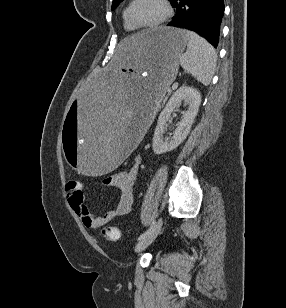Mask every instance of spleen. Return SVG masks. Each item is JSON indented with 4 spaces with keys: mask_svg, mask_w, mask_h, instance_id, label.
Returning <instances> with one entry per match:
<instances>
[{
    "mask_svg": "<svg viewBox=\"0 0 286 308\" xmlns=\"http://www.w3.org/2000/svg\"><path fill=\"white\" fill-rule=\"evenodd\" d=\"M188 37L186 52L180 58V64L185 72L191 74L197 81L209 85L216 68L217 55L210 43L197 33L185 31Z\"/></svg>",
    "mask_w": 286,
    "mask_h": 308,
    "instance_id": "spleen-1",
    "label": "spleen"
}]
</instances>
